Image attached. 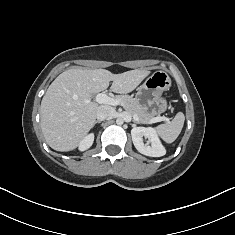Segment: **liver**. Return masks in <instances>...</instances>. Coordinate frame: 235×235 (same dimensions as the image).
Here are the masks:
<instances>
[{
  "instance_id": "1",
  "label": "liver",
  "mask_w": 235,
  "mask_h": 235,
  "mask_svg": "<svg viewBox=\"0 0 235 235\" xmlns=\"http://www.w3.org/2000/svg\"><path fill=\"white\" fill-rule=\"evenodd\" d=\"M150 74L148 70H130L113 74L105 69L73 68L61 73L42 98L41 129L47 144L56 151H71L94 126L100 106L91 101L93 93L109 87L126 94ZM110 107V106H109Z\"/></svg>"
}]
</instances>
